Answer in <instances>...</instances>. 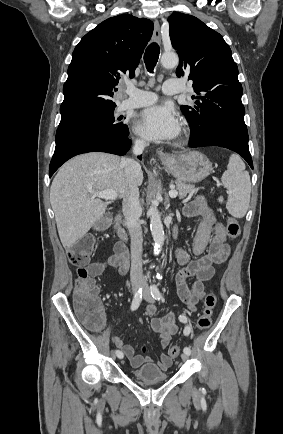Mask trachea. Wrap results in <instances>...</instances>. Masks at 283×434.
Masks as SVG:
<instances>
[{
    "instance_id": "1",
    "label": "trachea",
    "mask_w": 283,
    "mask_h": 434,
    "mask_svg": "<svg viewBox=\"0 0 283 434\" xmlns=\"http://www.w3.org/2000/svg\"><path fill=\"white\" fill-rule=\"evenodd\" d=\"M159 45L157 43H151L145 50L144 62L148 72L153 73V70L157 64L159 58Z\"/></svg>"
}]
</instances>
